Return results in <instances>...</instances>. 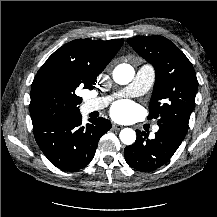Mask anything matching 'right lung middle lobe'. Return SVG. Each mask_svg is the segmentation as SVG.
<instances>
[{"mask_svg":"<svg viewBox=\"0 0 217 217\" xmlns=\"http://www.w3.org/2000/svg\"><path fill=\"white\" fill-rule=\"evenodd\" d=\"M77 88L85 87L56 72L35 76L29 107L33 125L79 114L82 98L76 95Z\"/></svg>","mask_w":217,"mask_h":217,"instance_id":"obj_1","label":"right lung middle lobe"}]
</instances>
